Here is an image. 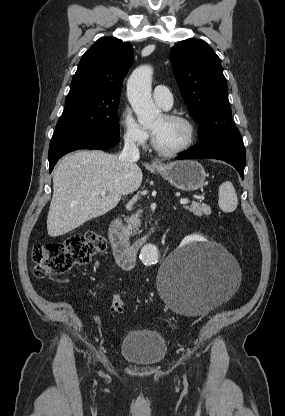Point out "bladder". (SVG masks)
<instances>
[{
	"instance_id": "1",
	"label": "bladder",
	"mask_w": 285,
	"mask_h": 416,
	"mask_svg": "<svg viewBox=\"0 0 285 416\" xmlns=\"http://www.w3.org/2000/svg\"><path fill=\"white\" fill-rule=\"evenodd\" d=\"M164 336L154 329L130 330L122 339L119 353L132 362L156 363L166 355Z\"/></svg>"
}]
</instances>
